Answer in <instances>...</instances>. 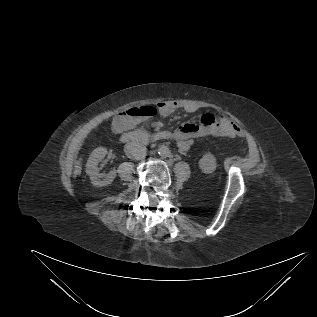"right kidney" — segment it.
<instances>
[{
    "mask_svg": "<svg viewBox=\"0 0 317 317\" xmlns=\"http://www.w3.org/2000/svg\"><path fill=\"white\" fill-rule=\"evenodd\" d=\"M107 154V149L97 147L90 154L86 163V173L90 176L91 183L94 186L102 187L109 185L116 177V171L112 170L108 174L99 172L98 163L104 159Z\"/></svg>",
    "mask_w": 317,
    "mask_h": 317,
    "instance_id": "right-kidney-1",
    "label": "right kidney"
}]
</instances>
